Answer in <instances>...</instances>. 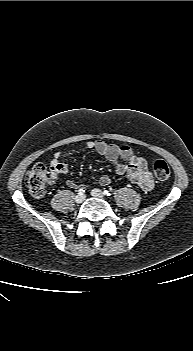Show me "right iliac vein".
Listing matches in <instances>:
<instances>
[{
    "label": "right iliac vein",
    "instance_id": "right-iliac-vein-1",
    "mask_svg": "<svg viewBox=\"0 0 193 351\" xmlns=\"http://www.w3.org/2000/svg\"><path fill=\"white\" fill-rule=\"evenodd\" d=\"M84 200H85V195H77V196L75 197V202H76L77 204H81Z\"/></svg>",
    "mask_w": 193,
    "mask_h": 351
}]
</instances>
